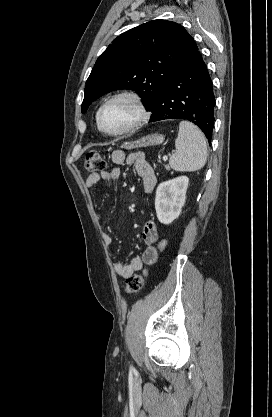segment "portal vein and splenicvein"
Wrapping results in <instances>:
<instances>
[{
    "label": "portal vein and splenic vein",
    "mask_w": 272,
    "mask_h": 417,
    "mask_svg": "<svg viewBox=\"0 0 272 417\" xmlns=\"http://www.w3.org/2000/svg\"><path fill=\"white\" fill-rule=\"evenodd\" d=\"M168 159L167 155L163 156V160L166 161Z\"/></svg>",
    "instance_id": "obj_1"
}]
</instances>
